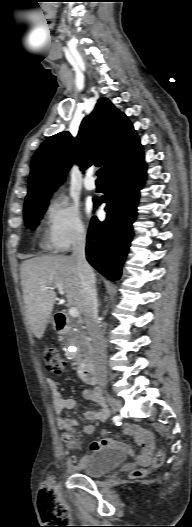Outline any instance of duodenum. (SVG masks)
<instances>
[{"mask_svg":"<svg viewBox=\"0 0 192 527\" xmlns=\"http://www.w3.org/2000/svg\"><path fill=\"white\" fill-rule=\"evenodd\" d=\"M55 325L56 329L59 333L65 334L69 331L70 325L66 318V316L61 313L57 312L55 314ZM78 374L80 378L85 381L86 383L95 385L97 384V375L94 369L93 364L90 361L82 360L78 363Z\"/></svg>","mask_w":192,"mask_h":527,"instance_id":"obj_1","label":"duodenum"}]
</instances>
